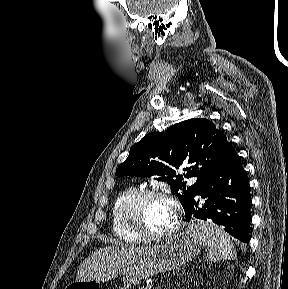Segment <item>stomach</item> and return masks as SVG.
<instances>
[{
  "instance_id": "stomach-1",
  "label": "stomach",
  "mask_w": 288,
  "mask_h": 289,
  "mask_svg": "<svg viewBox=\"0 0 288 289\" xmlns=\"http://www.w3.org/2000/svg\"><path fill=\"white\" fill-rule=\"evenodd\" d=\"M201 248L202 242L188 227L151 247V253L140 261L95 279L75 281L65 289H129L150 276L179 268L194 258Z\"/></svg>"
}]
</instances>
